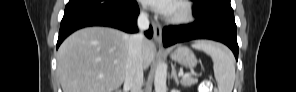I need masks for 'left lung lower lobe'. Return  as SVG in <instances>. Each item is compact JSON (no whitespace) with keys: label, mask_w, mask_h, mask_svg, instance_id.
<instances>
[{"label":"left lung lower lobe","mask_w":296,"mask_h":92,"mask_svg":"<svg viewBox=\"0 0 296 92\" xmlns=\"http://www.w3.org/2000/svg\"><path fill=\"white\" fill-rule=\"evenodd\" d=\"M195 22L188 25L168 26L163 29L165 47L193 39H211L227 45L238 60L236 24L232 9L218 8L211 11L207 18L200 16L193 8Z\"/></svg>","instance_id":"1"}]
</instances>
